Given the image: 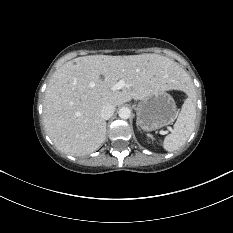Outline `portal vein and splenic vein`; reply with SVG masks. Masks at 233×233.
<instances>
[{
    "instance_id": "1",
    "label": "portal vein and splenic vein",
    "mask_w": 233,
    "mask_h": 233,
    "mask_svg": "<svg viewBox=\"0 0 233 233\" xmlns=\"http://www.w3.org/2000/svg\"><path fill=\"white\" fill-rule=\"evenodd\" d=\"M123 87H125V82L124 80H119L115 85L112 86V90L116 91V90H120Z\"/></svg>"
}]
</instances>
